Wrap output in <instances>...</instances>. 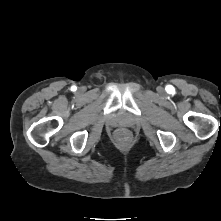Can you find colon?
<instances>
[{"label":"colon","mask_w":221,"mask_h":221,"mask_svg":"<svg viewBox=\"0 0 221 221\" xmlns=\"http://www.w3.org/2000/svg\"><path fill=\"white\" fill-rule=\"evenodd\" d=\"M116 138L120 143H125L126 141H128L129 139V133L127 130L125 129H120L117 133H116Z\"/></svg>","instance_id":"obj_1"}]
</instances>
